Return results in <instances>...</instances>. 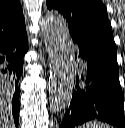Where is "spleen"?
Returning <instances> with one entry per match:
<instances>
[{"label":"spleen","instance_id":"spleen-1","mask_svg":"<svg viewBox=\"0 0 125 128\" xmlns=\"http://www.w3.org/2000/svg\"><path fill=\"white\" fill-rule=\"evenodd\" d=\"M79 128H111V127H110V125H108L106 123L92 121V122H89V123H86V124L80 126Z\"/></svg>","mask_w":125,"mask_h":128}]
</instances>
